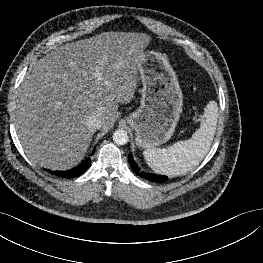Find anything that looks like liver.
<instances>
[{"instance_id": "1", "label": "liver", "mask_w": 263, "mask_h": 263, "mask_svg": "<svg viewBox=\"0 0 263 263\" xmlns=\"http://www.w3.org/2000/svg\"><path fill=\"white\" fill-rule=\"evenodd\" d=\"M150 41L145 33L103 32L57 47L30 67L13 120L33 164L66 170L84 158L96 131L88 129L87 117L100 112L101 128L113 127L119 104L134 99Z\"/></svg>"}]
</instances>
